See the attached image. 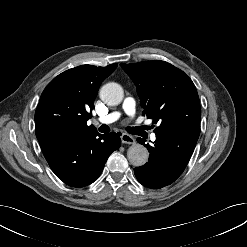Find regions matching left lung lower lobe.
<instances>
[{
    "instance_id": "left-lung-lower-lobe-1",
    "label": "left lung lower lobe",
    "mask_w": 247,
    "mask_h": 247,
    "mask_svg": "<svg viewBox=\"0 0 247 247\" xmlns=\"http://www.w3.org/2000/svg\"><path fill=\"white\" fill-rule=\"evenodd\" d=\"M198 139L182 134H156L154 145L145 144L150 153L149 161L134 169L137 180L151 189H159L173 183L184 171Z\"/></svg>"
}]
</instances>
